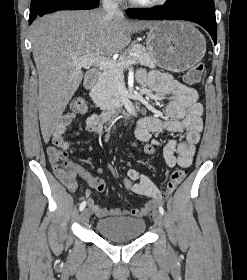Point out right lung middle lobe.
Instances as JSON below:
<instances>
[{"label": "right lung middle lobe", "instance_id": "right-lung-middle-lobe-1", "mask_svg": "<svg viewBox=\"0 0 247 280\" xmlns=\"http://www.w3.org/2000/svg\"><path fill=\"white\" fill-rule=\"evenodd\" d=\"M52 0H31L30 15L35 14L41 7Z\"/></svg>", "mask_w": 247, "mask_h": 280}]
</instances>
